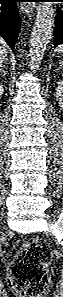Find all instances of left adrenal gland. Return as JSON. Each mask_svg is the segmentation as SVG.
Segmentation results:
<instances>
[{
    "label": "left adrenal gland",
    "mask_w": 63,
    "mask_h": 297,
    "mask_svg": "<svg viewBox=\"0 0 63 297\" xmlns=\"http://www.w3.org/2000/svg\"><path fill=\"white\" fill-rule=\"evenodd\" d=\"M62 63H61V65H60V67L57 69V71H60V69H62Z\"/></svg>",
    "instance_id": "1"
}]
</instances>
